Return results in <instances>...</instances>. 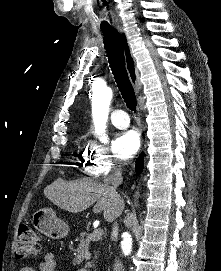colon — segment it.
<instances>
[{"instance_id":"obj_1","label":"colon","mask_w":221,"mask_h":271,"mask_svg":"<svg viewBox=\"0 0 221 271\" xmlns=\"http://www.w3.org/2000/svg\"><path fill=\"white\" fill-rule=\"evenodd\" d=\"M40 250V243L33 228L26 224L19 227L18 239L14 254L18 260L36 256Z\"/></svg>"}]
</instances>
